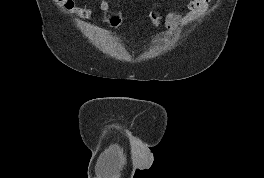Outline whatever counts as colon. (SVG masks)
Segmentation results:
<instances>
[{"mask_svg": "<svg viewBox=\"0 0 264 178\" xmlns=\"http://www.w3.org/2000/svg\"><path fill=\"white\" fill-rule=\"evenodd\" d=\"M59 2L66 7H70L73 5L72 0H59ZM162 20L163 14L158 10L151 11L147 17V23L152 28L158 27L161 24ZM123 22L124 16L122 15V13L113 10H110L105 13L104 24L108 27L118 28L123 24Z\"/></svg>", "mask_w": 264, "mask_h": 178, "instance_id": "5ec220e1", "label": "colon"}]
</instances>
